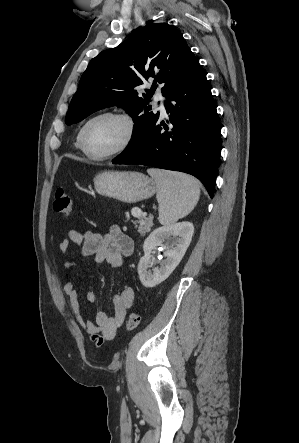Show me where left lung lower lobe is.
<instances>
[{"label":"left lung lower lobe","mask_w":299,"mask_h":443,"mask_svg":"<svg viewBox=\"0 0 299 443\" xmlns=\"http://www.w3.org/2000/svg\"><path fill=\"white\" fill-rule=\"evenodd\" d=\"M166 98L168 125L157 118L112 162L191 174L203 183L212 198L220 159L221 128L199 62L168 91Z\"/></svg>","instance_id":"0a47b994"}]
</instances>
